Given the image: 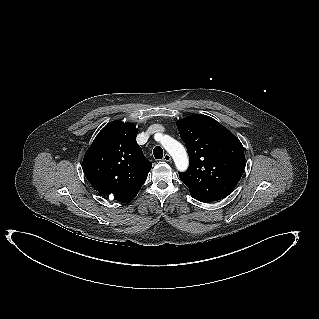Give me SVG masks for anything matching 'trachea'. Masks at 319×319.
Wrapping results in <instances>:
<instances>
[{"label": "trachea", "instance_id": "obj_1", "mask_svg": "<svg viewBox=\"0 0 319 319\" xmlns=\"http://www.w3.org/2000/svg\"><path fill=\"white\" fill-rule=\"evenodd\" d=\"M153 154H154V157L155 159H162L163 157V150L160 146H156L154 149H153Z\"/></svg>", "mask_w": 319, "mask_h": 319}]
</instances>
